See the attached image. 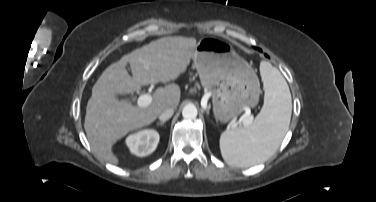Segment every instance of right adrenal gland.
Returning a JSON list of instances; mask_svg holds the SVG:
<instances>
[{"mask_svg":"<svg viewBox=\"0 0 376 202\" xmlns=\"http://www.w3.org/2000/svg\"><path fill=\"white\" fill-rule=\"evenodd\" d=\"M165 124V121H161L159 123H157V125H160V126H163Z\"/></svg>","mask_w":376,"mask_h":202,"instance_id":"right-adrenal-gland-1","label":"right adrenal gland"}]
</instances>
